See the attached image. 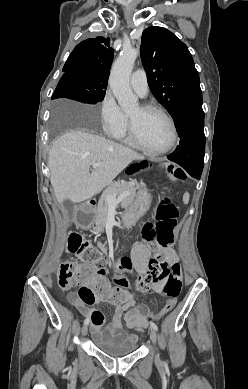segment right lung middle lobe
Returning a JSON list of instances; mask_svg holds the SVG:
<instances>
[{
  "instance_id": "dd1d6c3e",
  "label": "right lung middle lobe",
  "mask_w": 248,
  "mask_h": 389,
  "mask_svg": "<svg viewBox=\"0 0 248 389\" xmlns=\"http://www.w3.org/2000/svg\"><path fill=\"white\" fill-rule=\"evenodd\" d=\"M107 84L95 82L82 71H68L61 77L52 99L69 98L82 103L96 104L104 99Z\"/></svg>"
}]
</instances>
